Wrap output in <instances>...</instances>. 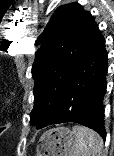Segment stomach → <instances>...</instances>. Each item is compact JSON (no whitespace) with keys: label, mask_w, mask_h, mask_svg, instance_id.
<instances>
[{"label":"stomach","mask_w":114,"mask_h":156,"mask_svg":"<svg viewBox=\"0 0 114 156\" xmlns=\"http://www.w3.org/2000/svg\"><path fill=\"white\" fill-rule=\"evenodd\" d=\"M75 143V133L68 127L47 130L39 138L36 156H69Z\"/></svg>","instance_id":"stomach-1"}]
</instances>
